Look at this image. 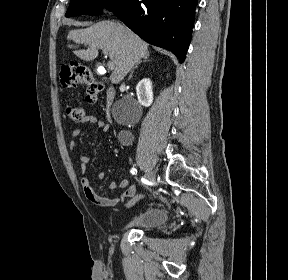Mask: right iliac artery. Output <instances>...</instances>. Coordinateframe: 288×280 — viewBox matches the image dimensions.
<instances>
[{
    "label": "right iliac artery",
    "instance_id": "obj_1",
    "mask_svg": "<svg viewBox=\"0 0 288 280\" xmlns=\"http://www.w3.org/2000/svg\"><path fill=\"white\" fill-rule=\"evenodd\" d=\"M131 173H132V174H136V173H137V170H136L135 168H132V169H131Z\"/></svg>",
    "mask_w": 288,
    "mask_h": 280
}]
</instances>
